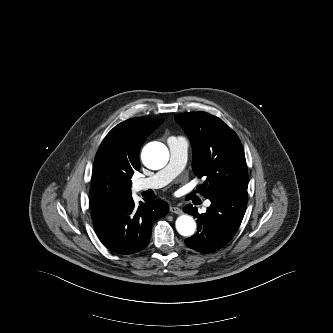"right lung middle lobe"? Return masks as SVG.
Instances as JSON below:
<instances>
[{
    "instance_id": "1",
    "label": "right lung middle lobe",
    "mask_w": 333,
    "mask_h": 333,
    "mask_svg": "<svg viewBox=\"0 0 333 333\" xmlns=\"http://www.w3.org/2000/svg\"><path fill=\"white\" fill-rule=\"evenodd\" d=\"M115 205H117V204L105 205L102 201H98V200L92 201V209L106 208V207H111V206H115Z\"/></svg>"
}]
</instances>
